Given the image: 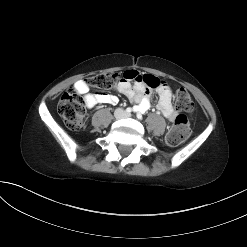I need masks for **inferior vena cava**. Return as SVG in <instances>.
Wrapping results in <instances>:
<instances>
[{
    "label": "inferior vena cava",
    "instance_id": "obj_1",
    "mask_svg": "<svg viewBox=\"0 0 247 247\" xmlns=\"http://www.w3.org/2000/svg\"><path fill=\"white\" fill-rule=\"evenodd\" d=\"M115 112H116L117 117H119V118H122V117L126 116L125 111H123L121 109H118Z\"/></svg>",
    "mask_w": 247,
    "mask_h": 247
}]
</instances>
